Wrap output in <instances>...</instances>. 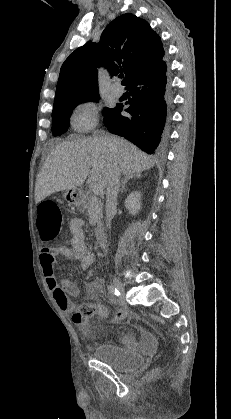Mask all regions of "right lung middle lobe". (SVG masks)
<instances>
[{
	"instance_id": "obj_1",
	"label": "right lung middle lobe",
	"mask_w": 231,
	"mask_h": 419,
	"mask_svg": "<svg viewBox=\"0 0 231 419\" xmlns=\"http://www.w3.org/2000/svg\"><path fill=\"white\" fill-rule=\"evenodd\" d=\"M98 93L90 95L61 100L54 103L52 112V133L58 136L66 132L69 126V120L73 109L80 103L86 101H97ZM112 109L105 108L103 115L106 116Z\"/></svg>"
}]
</instances>
